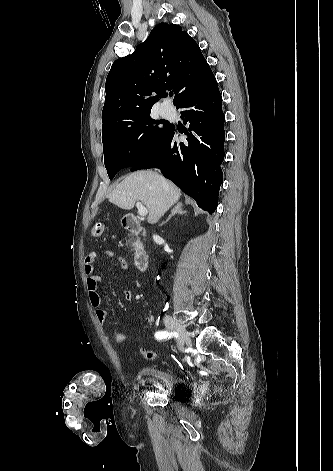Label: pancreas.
Segmentation results:
<instances>
[{"label": "pancreas", "mask_w": 333, "mask_h": 471, "mask_svg": "<svg viewBox=\"0 0 333 471\" xmlns=\"http://www.w3.org/2000/svg\"><path fill=\"white\" fill-rule=\"evenodd\" d=\"M132 242H133V238H132V237H130V238L128 239V241H127V243H126V244H127V245H129V244H131Z\"/></svg>", "instance_id": "obj_1"}]
</instances>
